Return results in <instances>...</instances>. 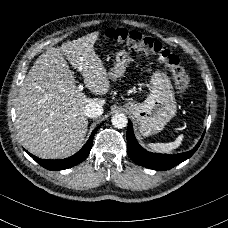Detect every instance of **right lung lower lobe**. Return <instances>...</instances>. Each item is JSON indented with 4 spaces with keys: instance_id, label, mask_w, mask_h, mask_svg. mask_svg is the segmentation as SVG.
<instances>
[{
    "instance_id": "right-lung-lower-lobe-1",
    "label": "right lung lower lobe",
    "mask_w": 228,
    "mask_h": 228,
    "mask_svg": "<svg viewBox=\"0 0 228 228\" xmlns=\"http://www.w3.org/2000/svg\"><path fill=\"white\" fill-rule=\"evenodd\" d=\"M101 125H99L97 128H95L93 130L89 140L82 147V149L78 153H76L75 155H73V156H71L69 158L61 159V160H45V159H40V158L30 154L29 152H27V153L36 162H38L41 166H43L44 168H46L48 170L58 171V170H63V169H67V168L73 167V166L81 163L82 161H84L88 157V155L90 153V150L92 148V144H93L92 140L94 138V135H95L96 131L100 128Z\"/></svg>"
}]
</instances>
